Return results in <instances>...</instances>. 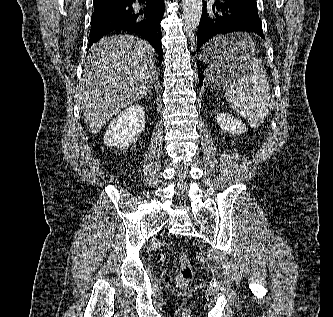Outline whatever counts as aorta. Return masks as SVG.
Listing matches in <instances>:
<instances>
[{
    "mask_svg": "<svg viewBox=\"0 0 333 317\" xmlns=\"http://www.w3.org/2000/svg\"><path fill=\"white\" fill-rule=\"evenodd\" d=\"M183 17L187 29H197L202 15V0H182Z\"/></svg>",
    "mask_w": 333,
    "mask_h": 317,
    "instance_id": "obj_1",
    "label": "aorta"
}]
</instances>
